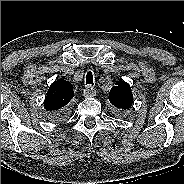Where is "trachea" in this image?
<instances>
[{"mask_svg": "<svg viewBox=\"0 0 184 184\" xmlns=\"http://www.w3.org/2000/svg\"><path fill=\"white\" fill-rule=\"evenodd\" d=\"M88 84L93 85V74L91 71H88L86 74V85Z\"/></svg>", "mask_w": 184, "mask_h": 184, "instance_id": "3493384b", "label": "trachea"}]
</instances>
